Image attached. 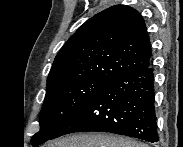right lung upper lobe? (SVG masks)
Listing matches in <instances>:
<instances>
[{"label": "right lung upper lobe", "instance_id": "cb5924a9", "mask_svg": "<svg viewBox=\"0 0 183 147\" xmlns=\"http://www.w3.org/2000/svg\"><path fill=\"white\" fill-rule=\"evenodd\" d=\"M151 66V48L142 16L112 6L86 21L55 57L47 88L82 79L110 82Z\"/></svg>", "mask_w": 183, "mask_h": 147}]
</instances>
